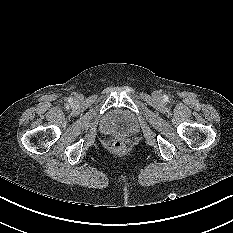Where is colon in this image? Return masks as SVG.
<instances>
[{"instance_id":"colon-1","label":"colon","mask_w":233,"mask_h":233,"mask_svg":"<svg viewBox=\"0 0 233 233\" xmlns=\"http://www.w3.org/2000/svg\"><path fill=\"white\" fill-rule=\"evenodd\" d=\"M125 146L122 142L120 141H116L112 144V149L113 151L120 153L124 150Z\"/></svg>"}]
</instances>
